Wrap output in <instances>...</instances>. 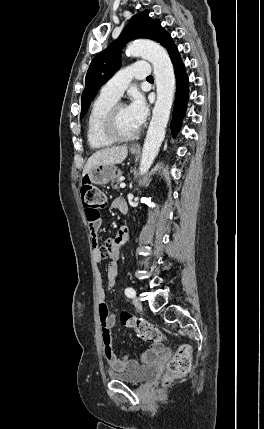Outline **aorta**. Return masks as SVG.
<instances>
[{
    "label": "aorta",
    "instance_id": "obj_1",
    "mask_svg": "<svg viewBox=\"0 0 264 429\" xmlns=\"http://www.w3.org/2000/svg\"><path fill=\"white\" fill-rule=\"evenodd\" d=\"M127 54L132 57H142L151 62L157 87V99L143 145L139 167L140 174L143 175L148 172L153 164L165 137V129L175 93V75L168 53L154 41H134L128 45Z\"/></svg>",
    "mask_w": 264,
    "mask_h": 429
}]
</instances>
